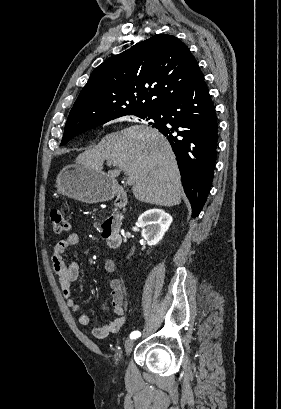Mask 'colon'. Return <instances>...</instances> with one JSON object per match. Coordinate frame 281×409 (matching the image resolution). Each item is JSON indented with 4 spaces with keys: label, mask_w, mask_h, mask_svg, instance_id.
Segmentation results:
<instances>
[{
    "label": "colon",
    "mask_w": 281,
    "mask_h": 409,
    "mask_svg": "<svg viewBox=\"0 0 281 409\" xmlns=\"http://www.w3.org/2000/svg\"><path fill=\"white\" fill-rule=\"evenodd\" d=\"M50 219L56 234H66L69 231L70 219L62 211L53 209L50 212Z\"/></svg>",
    "instance_id": "colon-1"
}]
</instances>
